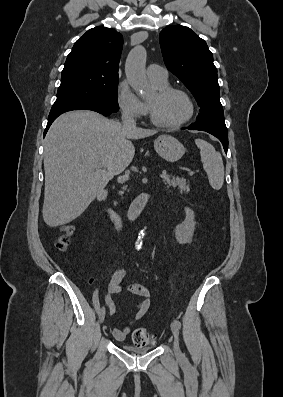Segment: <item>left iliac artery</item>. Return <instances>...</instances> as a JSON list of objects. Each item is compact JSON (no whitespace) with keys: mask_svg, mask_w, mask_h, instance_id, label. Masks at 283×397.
<instances>
[{"mask_svg":"<svg viewBox=\"0 0 283 397\" xmlns=\"http://www.w3.org/2000/svg\"><path fill=\"white\" fill-rule=\"evenodd\" d=\"M175 323H176L177 327L180 329L181 328V322L179 320H175Z\"/></svg>","mask_w":283,"mask_h":397,"instance_id":"left-iliac-artery-1","label":"left iliac artery"}]
</instances>
